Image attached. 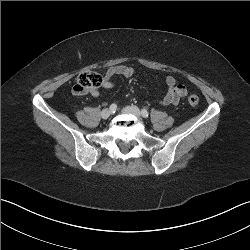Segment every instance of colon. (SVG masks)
Returning a JSON list of instances; mask_svg holds the SVG:
<instances>
[{"instance_id": "obj_1", "label": "colon", "mask_w": 250, "mask_h": 250, "mask_svg": "<svg viewBox=\"0 0 250 250\" xmlns=\"http://www.w3.org/2000/svg\"><path fill=\"white\" fill-rule=\"evenodd\" d=\"M103 83L102 77L93 71H85L78 75L76 83L73 87V93L77 95H83L88 92L94 91L100 87ZM188 102L195 106L199 103V98L196 95H190Z\"/></svg>"}]
</instances>
